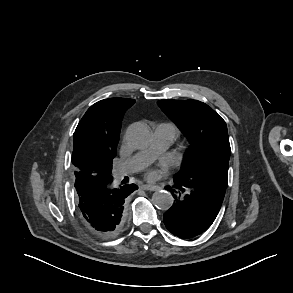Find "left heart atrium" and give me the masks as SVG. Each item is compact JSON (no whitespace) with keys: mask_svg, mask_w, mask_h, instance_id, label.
I'll return each instance as SVG.
<instances>
[{"mask_svg":"<svg viewBox=\"0 0 293 293\" xmlns=\"http://www.w3.org/2000/svg\"><path fill=\"white\" fill-rule=\"evenodd\" d=\"M157 176V171H155V170H149L148 172H147V177L148 178H155Z\"/></svg>","mask_w":293,"mask_h":293,"instance_id":"1","label":"left heart atrium"}]
</instances>
